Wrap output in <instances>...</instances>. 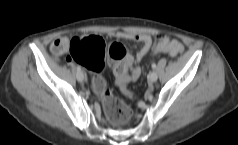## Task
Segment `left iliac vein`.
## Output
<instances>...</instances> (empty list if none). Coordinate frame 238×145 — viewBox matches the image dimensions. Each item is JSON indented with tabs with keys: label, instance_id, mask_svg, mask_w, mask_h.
I'll list each match as a JSON object with an SVG mask.
<instances>
[{
	"label": "left iliac vein",
	"instance_id": "4c4485c4",
	"mask_svg": "<svg viewBox=\"0 0 238 145\" xmlns=\"http://www.w3.org/2000/svg\"><path fill=\"white\" fill-rule=\"evenodd\" d=\"M157 79H158V74L156 72H152L148 77V80L150 83L156 82Z\"/></svg>",
	"mask_w": 238,
	"mask_h": 145
}]
</instances>
